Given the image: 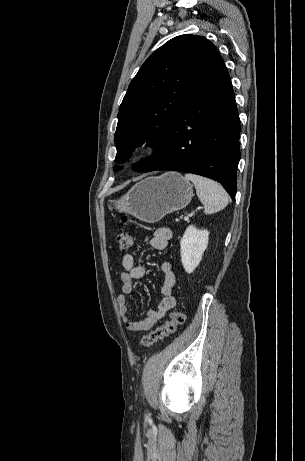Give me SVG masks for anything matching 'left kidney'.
Masks as SVG:
<instances>
[{"label":"left kidney","instance_id":"left-kidney-1","mask_svg":"<svg viewBox=\"0 0 305 461\" xmlns=\"http://www.w3.org/2000/svg\"><path fill=\"white\" fill-rule=\"evenodd\" d=\"M209 232L189 226L180 241L181 262L187 273H192L199 265L207 248Z\"/></svg>","mask_w":305,"mask_h":461}]
</instances>
